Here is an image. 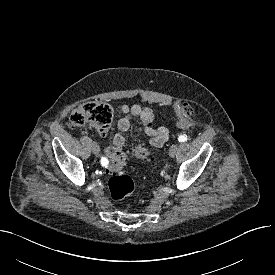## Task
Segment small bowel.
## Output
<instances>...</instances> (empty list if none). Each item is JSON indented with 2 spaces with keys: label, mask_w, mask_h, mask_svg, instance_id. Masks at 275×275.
<instances>
[{
  "label": "small bowel",
  "mask_w": 275,
  "mask_h": 275,
  "mask_svg": "<svg viewBox=\"0 0 275 275\" xmlns=\"http://www.w3.org/2000/svg\"><path fill=\"white\" fill-rule=\"evenodd\" d=\"M120 118L117 122L118 133L113 139L112 145L106 146L104 149L105 158L111 161L123 157L125 138L124 132H126L131 125V117L139 119L143 132L149 138V143L152 147H162L169 137V131L165 127H154L155 115L149 108L142 107L138 104L132 106L122 105L119 107ZM105 135V133H101ZM107 159V160H108Z\"/></svg>",
  "instance_id": "c3829d8e"
}]
</instances>
